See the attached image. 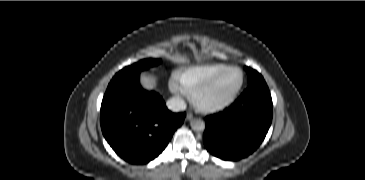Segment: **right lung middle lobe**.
<instances>
[{
	"instance_id": "dd1d6c3e",
	"label": "right lung middle lobe",
	"mask_w": 365,
	"mask_h": 180,
	"mask_svg": "<svg viewBox=\"0 0 365 180\" xmlns=\"http://www.w3.org/2000/svg\"><path fill=\"white\" fill-rule=\"evenodd\" d=\"M161 62L160 59H144L141 60L131 66H127L123 68L121 71H119L111 80L115 81L117 79L126 77V76H132V75H139V73L142 70L148 69L149 67L155 66Z\"/></svg>"
}]
</instances>
